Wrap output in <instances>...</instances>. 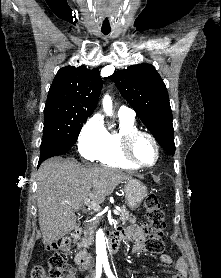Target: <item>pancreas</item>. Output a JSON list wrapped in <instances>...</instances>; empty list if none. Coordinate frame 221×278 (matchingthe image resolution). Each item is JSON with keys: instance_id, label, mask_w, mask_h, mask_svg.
<instances>
[{"instance_id": "cf45deb5", "label": "pancreas", "mask_w": 221, "mask_h": 278, "mask_svg": "<svg viewBox=\"0 0 221 278\" xmlns=\"http://www.w3.org/2000/svg\"><path fill=\"white\" fill-rule=\"evenodd\" d=\"M120 221H122V223L124 225H126L129 222H135L136 221V217L132 216V214L129 213V211H127L126 207H121L120 211ZM97 227H99L101 224L99 222H97L95 224ZM94 223L89 224L87 226V228L84 231V236L82 238V241L80 243H78V248L80 247H84L86 248L88 245H90L92 243L93 240V233L95 232L94 230Z\"/></svg>"}]
</instances>
